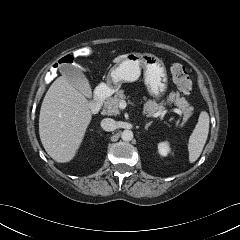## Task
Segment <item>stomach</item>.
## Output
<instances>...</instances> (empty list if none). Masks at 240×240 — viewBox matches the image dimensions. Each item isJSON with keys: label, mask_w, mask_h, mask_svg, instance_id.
Segmentation results:
<instances>
[{"label": "stomach", "mask_w": 240, "mask_h": 240, "mask_svg": "<svg viewBox=\"0 0 240 240\" xmlns=\"http://www.w3.org/2000/svg\"><path fill=\"white\" fill-rule=\"evenodd\" d=\"M142 69L149 94L155 98L163 96L168 86L166 68L160 58L150 53H128L125 59L111 68L107 85L117 90L123 83L138 80Z\"/></svg>", "instance_id": "stomach-1"}]
</instances>
